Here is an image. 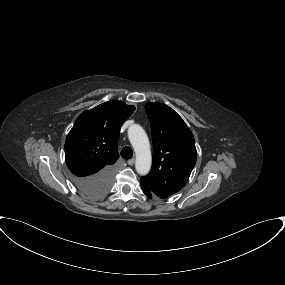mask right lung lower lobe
Segmentation results:
<instances>
[{"label":"right lung lower lobe","mask_w":285,"mask_h":285,"mask_svg":"<svg viewBox=\"0 0 285 285\" xmlns=\"http://www.w3.org/2000/svg\"><path fill=\"white\" fill-rule=\"evenodd\" d=\"M116 166H108L100 172L88 176H74L73 181L76 187L85 195L92 197L99 194H106L114 181Z\"/></svg>","instance_id":"right-lung-lower-lobe-1"}]
</instances>
